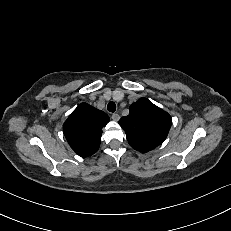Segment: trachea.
<instances>
[{"mask_svg": "<svg viewBox=\"0 0 231 231\" xmlns=\"http://www.w3.org/2000/svg\"><path fill=\"white\" fill-rule=\"evenodd\" d=\"M107 110L109 112H115L116 111V104L114 102H109L108 105H107Z\"/></svg>", "mask_w": 231, "mask_h": 231, "instance_id": "obj_1", "label": "trachea"}]
</instances>
